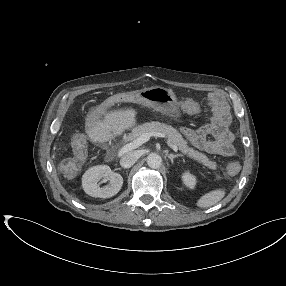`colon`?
I'll list each match as a JSON object with an SVG mask.
<instances>
[{"instance_id":"obj_1","label":"colon","mask_w":286,"mask_h":286,"mask_svg":"<svg viewBox=\"0 0 286 286\" xmlns=\"http://www.w3.org/2000/svg\"><path fill=\"white\" fill-rule=\"evenodd\" d=\"M75 147L77 150L82 151L83 150V140L79 138L78 136L76 137V142H75ZM238 170V164L237 163H231L229 165V171L234 173Z\"/></svg>"}]
</instances>
